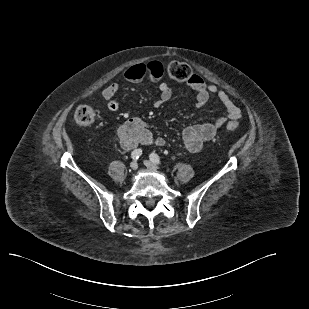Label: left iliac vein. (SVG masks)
<instances>
[{"instance_id":"left-iliac-vein-1","label":"left iliac vein","mask_w":309,"mask_h":309,"mask_svg":"<svg viewBox=\"0 0 309 309\" xmlns=\"http://www.w3.org/2000/svg\"><path fill=\"white\" fill-rule=\"evenodd\" d=\"M144 164L147 168H149L150 170L156 171L158 169L157 165L152 163L151 161L145 160Z\"/></svg>"}]
</instances>
